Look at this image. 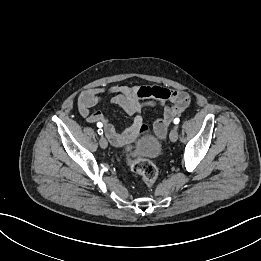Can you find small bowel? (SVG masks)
<instances>
[{
  "mask_svg": "<svg viewBox=\"0 0 261 261\" xmlns=\"http://www.w3.org/2000/svg\"><path fill=\"white\" fill-rule=\"evenodd\" d=\"M104 97L108 98L111 104L120 106L133 118L129 128L118 132L102 112H91V108L99 104ZM190 101L187 92L158 85L96 87L85 90L79 95L78 111L88 123H102L108 139L114 145H119L125 139L148 131L142 118L144 108H157L162 111V115L154 121L153 131L158 138L163 139L172 119L182 114Z\"/></svg>",
  "mask_w": 261,
  "mask_h": 261,
  "instance_id": "c3829d8e",
  "label": "small bowel"
}]
</instances>
